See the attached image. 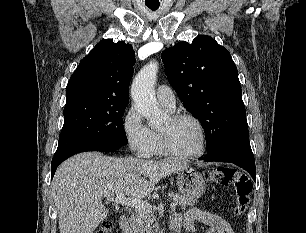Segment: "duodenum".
Instances as JSON below:
<instances>
[{
    "mask_svg": "<svg viewBox=\"0 0 306 233\" xmlns=\"http://www.w3.org/2000/svg\"><path fill=\"white\" fill-rule=\"evenodd\" d=\"M119 228H120V233H131L130 232V222H129V217L126 215H122L119 218ZM174 233L177 232L175 228H171Z\"/></svg>",
    "mask_w": 306,
    "mask_h": 233,
    "instance_id": "1",
    "label": "duodenum"
}]
</instances>
